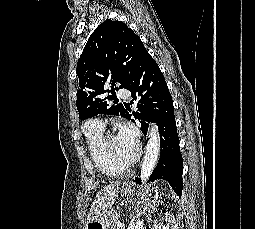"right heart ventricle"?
I'll list each match as a JSON object with an SVG mask.
<instances>
[{
  "instance_id": "1",
  "label": "right heart ventricle",
  "mask_w": 255,
  "mask_h": 229,
  "mask_svg": "<svg viewBox=\"0 0 255 229\" xmlns=\"http://www.w3.org/2000/svg\"><path fill=\"white\" fill-rule=\"evenodd\" d=\"M84 135L87 143L88 154L95 168L108 177H115L123 173V170L115 167L100 151V140L104 129L90 125L87 121L84 126Z\"/></svg>"
}]
</instances>
